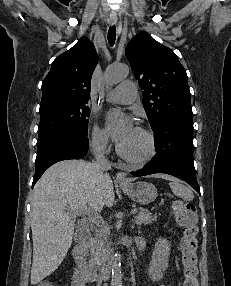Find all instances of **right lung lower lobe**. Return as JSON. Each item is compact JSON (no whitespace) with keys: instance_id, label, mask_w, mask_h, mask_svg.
Masks as SVG:
<instances>
[{"instance_id":"1","label":"right lung lower lobe","mask_w":231,"mask_h":286,"mask_svg":"<svg viewBox=\"0 0 231 286\" xmlns=\"http://www.w3.org/2000/svg\"><path fill=\"white\" fill-rule=\"evenodd\" d=\"M36 170L32 187L54 163L66 159H80L88 152L87 135L77 132H58L37 141Z\"/></svg>"}]
</instances>
